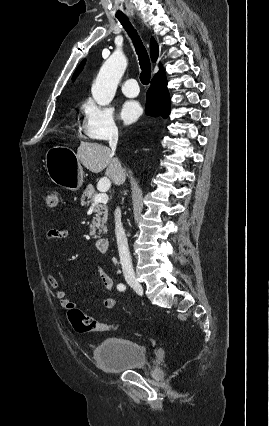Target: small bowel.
<instances>
[{"label":"small bowel","instance_id":"obj_1","mask_svg":"<svg viewBox=\"0 0 269 426\" xmlns=\"http://www.w3.org/2000/svg\"><path fill=\"white\" fill-rule=\"evenodd\" d=\"M68 235V230L64 226H57L48 230L42 238V245L56 239H63ZM99 279L107 293V296L101 299V306L104 309H112L115 306V299L113 297L114 281L112 277L101 267L97 268ZM49 285L55 290V296L60 306L66 310L75 306V303L68 299L66 293L60 289L59 282L52 274L47 275ZM124 290V289H123Z\"/></svg>","mask_w":269,"mask_h":426}]
</instances>
